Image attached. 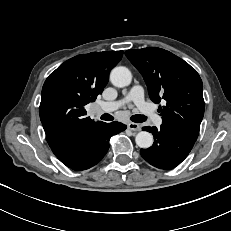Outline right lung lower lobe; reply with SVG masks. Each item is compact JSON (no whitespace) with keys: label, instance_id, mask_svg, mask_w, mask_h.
<instances>
[{"label":"right lung lower lobe","instance_id":"right-lung-lower-lobe-1","mask_svg":"<svg viewBox=\"0 0 231 231\" xmlns=\"http://www.w3.org/2000/svg\"><path fill=\"white\" fill-rule=\"evenodd\" d=\"M126 129L119 122L104 123L81 138L68 155L60 161L67 167L81 171L96 165L109 149V139Z\"/></svg>","mask_w":231,"mask_h":231}]
</instances>
